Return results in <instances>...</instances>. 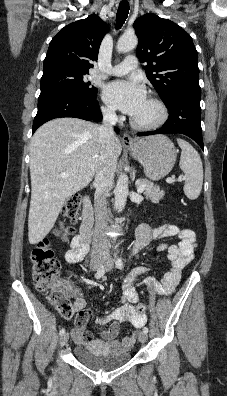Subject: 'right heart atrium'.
I'll return each instance as SVG.
<instances>
[{
  "mask_svg": "<svg viewBox=\"0 0 227 396\" xmlns=\"http://www.w3.org/2000/svg\"><path fill=\"white\" fill-rule=\"evenodd\" d=\"M102 113L108 119L114 120L117 118L116 112L111 106H103Z\"/></svg>",
  "mask_w": 227,
  "mask_h": 396,
  "instance_id": "d8ad5b80",
  "label": "right heart atrium"
}]
</instances>
